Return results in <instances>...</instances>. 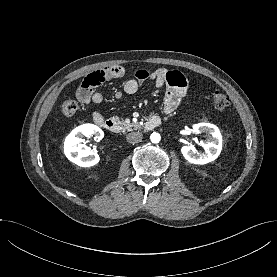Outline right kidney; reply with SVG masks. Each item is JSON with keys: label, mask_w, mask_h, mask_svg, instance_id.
Here are the masks:
<instances>
[{"label": "right kidney", "mask_w": 277, "mask_h": 277, "mask_svg": "<svg viewBox=\"0 0 277 277\" xmlns=\"http://www.w3.org/2000/svg\"><path fill=\"white\" fill-rule=\"evenodd\" d=\"M84 136H94V140L99 142L104 137V132L94 124H83L76 127L65 139L64 153L76 165L91 167L96 165L100 158L96 152L90 151L87 146L81 143Z\"/></svg>", "instance_id": "obj_1"}]
</instances>
